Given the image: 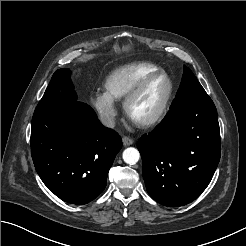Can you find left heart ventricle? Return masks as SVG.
Masks as SVG:
<instances>
[{"label": "left heart ventricle", "instance_id": "obj_1", "mask_svg": "<svg viewBox=\"0 0 246 246\" xmlns=\"http://www.w3.org/2000/svg\"><path fill=\"white\" fill-rule=\"evenodd\" d=\"M169 91V82L164 76L152 80L134 101L131 114L137 120H146L161 108Z\"/></svg>", "mask_w": 246, "mask_h": 246}]
</instances>
